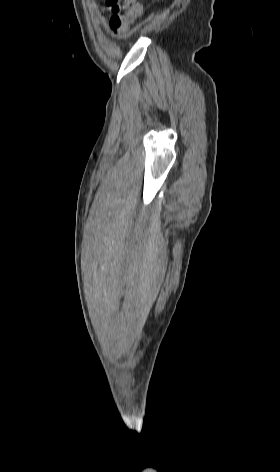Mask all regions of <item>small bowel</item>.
Instances as JSON below:
<instances>
[{"label":"small bowel","instance_id":"obj_1","mask_svg":"<svg viewBox=\"0 0 280 472\" xmlns=\"http://www.w3.org/2000/svg\"><path fill=\"white\" fill-rule=\"evenodd\" d=\"M110 29L116 36H123L127 32L126 26H114L110 21Z\"/></svg>","mask_w":280,"mask_h":472}]
</instances>
